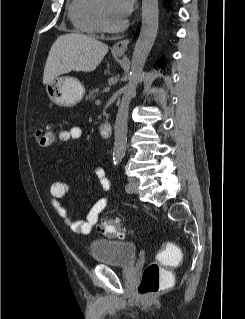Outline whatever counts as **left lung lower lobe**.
Returning a JSON list of instances; mask_svg holds the SVG:
<instances>
[{
    "label": "left lung lower lobe",
    "instance_id": "left-lung-lower-lobe-1",
    "mask_svg": "<svg viewBox=\"0 0 245 319\" xmlns=\"http://www.w3.org/2000/svg\"><path fill=\"white\" fill-rule=\"evenodd\" d=\"M166 1L169 2L170 0H166ZM156 65L159 66V67H163L164 66V64L162 62V58L159 61L156 62Z\"/></svg>",
    "mask_w": 245,
    "mask_h": 319
}]
</instances>
